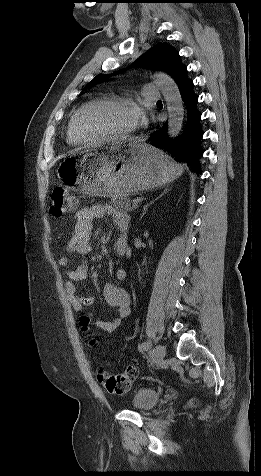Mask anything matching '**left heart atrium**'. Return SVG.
<instances>
[{
  "label": "left heart atrium",
  "mask_w": 261,
  "mask_h": 476,
  "mask_svg": "<svg viewBox=\"0 0 261 476\" xmlns=\"http://www.w3.org/2000/svg\"><path fill=\"white\" fill-rule=\"evenodd\" d=\"M134 111L136 113V119H137V122H136L135 126L145 124L146 119H145L144 114L139 109L134 110Z\"/></svg>",
  "instance_id": "39dd6f15"
}]
</instances>
